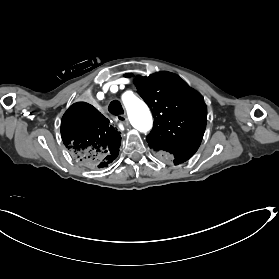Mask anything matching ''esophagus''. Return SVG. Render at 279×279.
<instances>
[{
  "mask_svg": "<svg viewBox=\"0 0 279 279\" xmlns=\"http://www.w3.org/2000/svg\"><path fill=\"white\" fill-rule=\"evenodd\" d=\"M116 119L118 122L122 123L124 126H128L129 125V120L125 115H117Z\"/></svg>",
  "mask_w": 279,
  "mask_h": 279,
  "instance_id": "esophagus-1",
  "label": "esophagus"
}]
</instances>
